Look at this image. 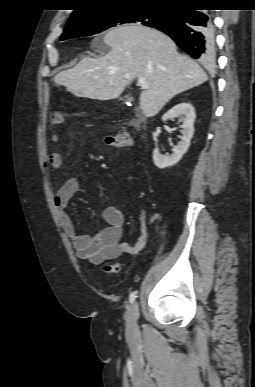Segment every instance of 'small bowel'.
I'll use <instances>...</instances> for the list:
<instances>
[{"label": "small bowel", "instance_id": "small-bowel-1", "mask_svg": "<svg viewBox=\"0 0 255 387\" xmlns=\"http://www.w3.org/2000/svg\"><path fill=\"white\" fill-rule=\"evenodd\" d=\"M62 117L59 114L53 116V123L59 124ZM52 140L58 141V136L53 134ZM50 163L53 167H59L61 156L57 152L50 155ZM80 183L76 177L67 179L57 190L54 197V206L58 212L59 220L67 236L70 238L78 258L89 261L92 264H100L112 260L121 254L139 253L147 241V232L142 230L134 243L122 241L124 213L116 207H106L102 211V219L106 226L96 231L93 235L81 233L72 217L68 213V206L73 196L79 191Z\"/></svg>", "mask_w": 255, "mask_h": 387}]
</instances>
